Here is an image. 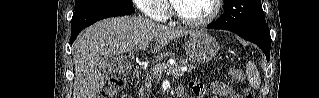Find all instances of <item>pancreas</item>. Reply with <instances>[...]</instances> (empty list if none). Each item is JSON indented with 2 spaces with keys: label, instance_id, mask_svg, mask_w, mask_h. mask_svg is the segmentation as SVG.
<instances>
[{
  "label": "pancreas",
  "instance_id": "obj_1",
  "mask_svg": "<svg viewBox=\"0 0 319 98\" xmlns=\"http://www.w3.org/2000/svg\"><path fill=\"white\" fill-rule=\"evenodd\" d=\"M167 57H172V58L178 60L180 64H182L183 66H187L189 70L195 69V66L190 64L188 59H184V58H181V57H178V56L176 57L175 54L172 53V52H165L163 54L158 55L157 58H156V62L160 61V60H162L164 58H167ZM155 67L151 68L150 71L146 75L145 88H142L140 93H139L141 98H144L146 95H148L151 92L150 89L152 87V82L154 81V79L156 77V74L154 72V68ZM162 72L159 73V75H161Z\"/></svg>",
  "mask_w": 319,
  "mask_h": 98
}]
</instances>
